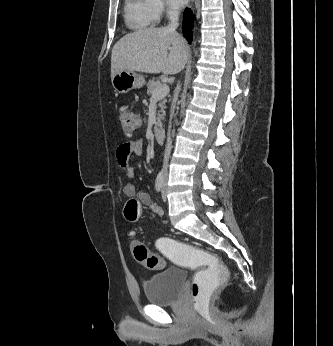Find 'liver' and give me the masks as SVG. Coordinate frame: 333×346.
I'll return each instance as SVG.
<instances>
[{"label": "liver", "mask_w": 333, "mask_h": 346, "mask_svg": "<svg viewBox=\"0 0 333 346\" xmlns=\"http://www.w3.org/2000/svg\"><path fill=\"white\" fill-rule=\"evenodd\" d=\"M190 56L184 38L167 27L146 28L122 37L113 47L111 79L120 71L174 75Z\"/></svg>", "instance_id": "liver-1"}]
</instances>
